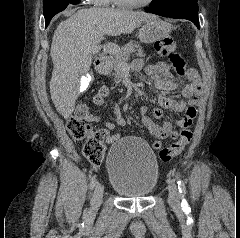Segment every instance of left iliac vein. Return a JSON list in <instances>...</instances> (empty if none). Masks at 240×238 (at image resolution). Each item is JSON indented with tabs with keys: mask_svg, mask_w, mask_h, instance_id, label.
<instances>
[{
	"mask_svg": "<svg viewBox=\"0 0 240 238\" xmlns=\"http://www.w3.org/2000/svg\"><path fill=\"white\" fill-rule=\"evenodd\" d=\"M168 202L174 210L181 209V195L178 192L177 185L174 182H170L168 185Z\"/></svg>",
	"mask_w": 240,
	"mask_h": 238,
	"instance_id": "left-iliac-vein-1",
	"label": "left iliac vein"
}]
</instances>
